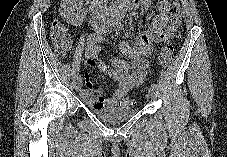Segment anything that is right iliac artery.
Here are the masks:
<instances>
[{
    "instance_id": "obj_1",
    "label": "right iliac artery",
    "mask_w": 227,
    "mask_h": 157,
    "mask_svg": "<svg viewBox=\"0 0 227 157\" xmlns=\"http://www.w3.org/2000/svg\"><path fill=\"white\" fill-rule=\"evenodd\" d=\"M96 33H97L98 35H101V34H102L101 31H96ZM100 39H101V38H100ZM76 78H77L78 80H81V77L78 76V75H76Z\"/></svg>"
}]
</instances>
